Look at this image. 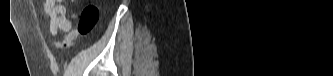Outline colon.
Masks as SVG:
<instances>
[{"mask_svg":"<svg viewBox=\"0 0 333 76\" xmlns=\"http://www.w3.org/2000/svg\"><path fill=\"white\" fill-rule=\"evenodd\" d=\"M99 19V10L96 5H87L81 12L77 28L68 33L59 43V48L70 47L77 35H88L96 26Z\"/></svg>","mask_w":333,"mask_h":76,"instance_id":"1","label":"colon"}]
</instances>
